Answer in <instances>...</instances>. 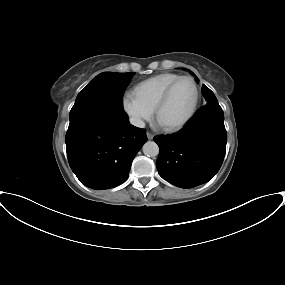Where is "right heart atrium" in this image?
<instances>
[{
	"label": "right heart atrium",
	"instance_id": "1",
	"mask_svg": "<svg viewBox=\"0 0 285 285\" xmlns=\"http://www.w3.org/2000/svg\"><path fill=\"white\" fill-rule=\"evenodd\" d=\"M122 109L132 124L142 126L153 116V110L141 103L133 93H126L122 98Z\"/></svg>",
	"mask_w": 285,
	"mask_h": 285
}]
</instances>
